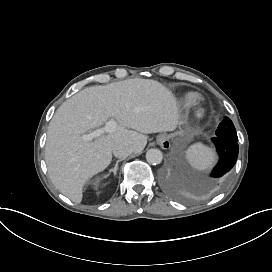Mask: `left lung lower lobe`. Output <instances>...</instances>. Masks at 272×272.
Here are the masks:
<instances>
[{
  "label": "left lung lower lobe",
  "instance_id": "left-lung-lower-lobe-1",
  "mask_svg": "<svg viewBox=\"0 0 272 272\" xmlns=\"http://www.w3.org/2000/svg\"><path fill=\"white\" fill-rule=\"evenodd\" d=\"M212 141L216 145L219 154V162L214 167L211 176L215 179H218L225 175L227 172H229L235 165L238 157L239 146L237 144V141H233L219 136L212 138ZM218 182L219 180L212 181L209 187H212Z\"/></svg>",
  "mask_w": 272,
  "mask_h": 272
}]
</instances>
